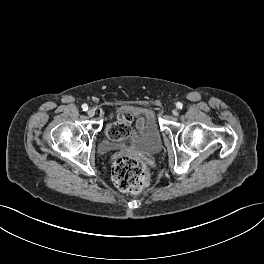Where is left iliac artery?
Returning a JSON list of instances; mask_svg holds the SVG:
<instances>
[{"mask_svg": "<svg viewBox=\"0 0 264 264\" xmlns=\"http://www.w3.org/2000/svg\"><path fill=\"white\" fill-rule=\"evenodd\" d=\"M176 107H177L178 109H182L183 104H182L181 102H178V103L176 104Z\"/></svg>", "mask_w": 264, "mask_h": 264, "instance_id": "obj_1", "label": "left iliac artery"}]
</instances>
